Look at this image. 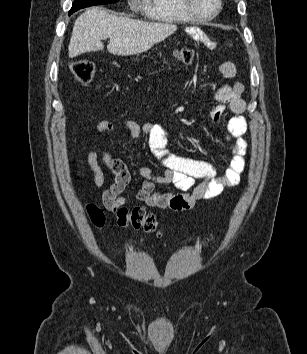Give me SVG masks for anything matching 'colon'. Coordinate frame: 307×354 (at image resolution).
I'll return each mask as SVG.
<instances>
[{
  "label": "colon",
  "mask_w": 307,
  "mask_h": 354,
  "mask_svg": "<svg viewBox=\"0 0 307 354\" xmlns=\"http://www.w3.org/2000/svg\"><path fill=\"white\" fill-rule=\"evenodd\" d=\"M176 57L179 61L189 64L195 58V51L190 48H182L176 51ZM69 71L72 76L82 84H89L94 77V64L88 59L74 60L69 65ZM89 216L96 226L104 223V214L96 205L90 204L87 207ZM117 214V221L120 226H132L135 229L146 233L161 235L158 221L154 214L147 212L142 207L128 209L123 206L112 207Z\"/></svg>",
  "instance_id": "1"
}]
</instances>
